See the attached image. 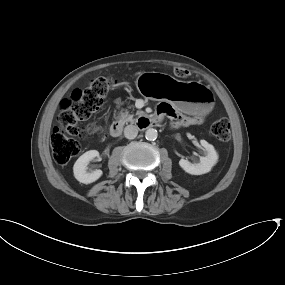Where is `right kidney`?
<instances>
[{
  "instance_id": "1",
  "label": "right kidney",
  "mask_w": 285,
  "mask_h": 285,
  "mask_svg": "<svg viewBox=\"0 0 285 285\" xmlns=\"http://www.w3.org/2000/svg\"><path fill=\"white\" fill-rule=\"evenodd\" d=\"M99 156V152L97 150H89L81 155L73 166L74 177L80 182L84 184H90L98 180L102 176L101 170H95L92 172H88L87 165L91 160L95 157Z\"/></svg>"
}]
</instances>
